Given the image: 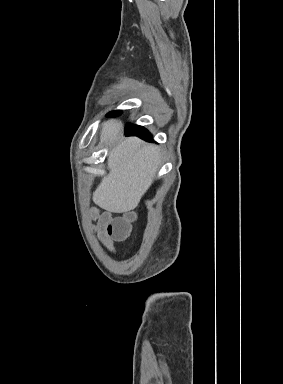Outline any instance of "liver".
Returning a JSON list of instances; mask_svg holds the SVG:
<instances>
[{
	"label": "liver",
	"instance_id": "obj_1",
	"mask_svg": "<svg viewBox=\"0 0 283 384\" xmlns=\"http://www.w3.org/2000/svg\"><path fill=\"white\" fill-rule=\"evenodd\" d=\"M123 124L119 120L104 122L102 142H116ZM160 152L139 138H126L108 154V176H104L93 194V202L114 214L137 208L149 190L161 162Z\"/></svg>",
	"mask_w": 283,
	"mask_h": 384
}]
</instances>
